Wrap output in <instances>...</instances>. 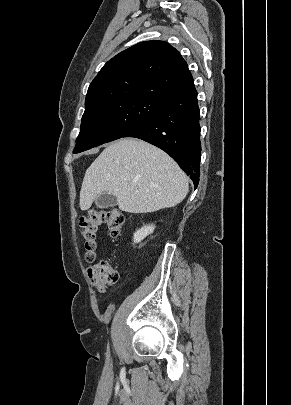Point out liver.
I'll return each instance as SVG.
<instances>
[{
  "label": "liver",
  "mask_w": 291,
  "mask_h": 405,
  "mask_svg": "<svg viewBox=\"0 0 291 405\" xmlns=\"http://www.w3.org/2000/svg\"><path fill=\"white\" fill-rule=\"evenodd\" d=\"M187 176L161 149L135 138L109 144L86 170L80 208L88 210L102 193L116 197L119 209L148 213L179 204L187 195Z\"/></svg>",
  "instance_id": "1"
}]
</instances>
